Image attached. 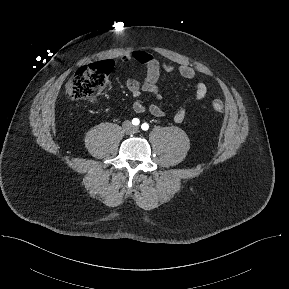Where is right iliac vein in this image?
<instances>
[{
    "label": "right iliac vein",
    "instance_id": "right-iliac-vein-1",
    "mask_svg": "<svg viewBox=\"0 0 289 289\" xmlns=\"http://www.w3.org/2000/svg\"><path fill=\"white\" fill-rule=\"evenodd\" d=\"M125 126H126V127H130V123H126Z\"/></svg>",
    "mask_w": 289,
    "mask_h": 289
}]
</instances>
